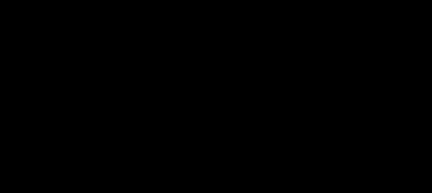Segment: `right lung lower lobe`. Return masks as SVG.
Segmentation results:
<instances>
[{
  "label": "right lung lower lobe",
  "mask_w": 432,
  "mask_h": 193,
  "mask_svg": "<svg viewBox=\"0 0 432 193\" xmlns=\"http://www.w3.org/2000/svg\"><path fill=\"white\" fill-rule=\"evenodd\" d=\"M195 97L182 101L146 96L119 106L117 119L133 161L169 179L189 163L198 137L213 129L209 114L194 115Z\"/></svg>",
  "instance_id": "98d812e1"
}]
</instances>
